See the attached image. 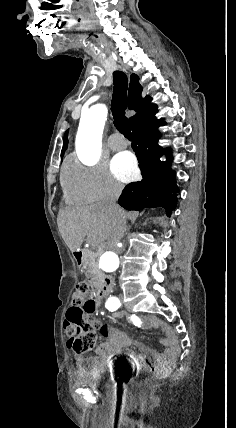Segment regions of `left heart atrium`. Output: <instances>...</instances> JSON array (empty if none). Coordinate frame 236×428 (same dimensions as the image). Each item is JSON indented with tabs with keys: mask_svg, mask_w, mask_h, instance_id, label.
Masks as SVG:
<instances>
[{
	"mask_svg": "<svg viewBox=\"0 0 236 428\" xmlns=\"http://www.w3.org/2000/svg\"><path fill=\"white\" fill-rule=\"evenodd\" d=\"M111 172L114 177L129 182L137 175V165L134 156L129 152H124L113 158L111 162Z\"/></svg>",
	"mask_w": 236,
	"mask_h": 428,
	"instance_id": "39dd6f15",
	"label": "left heart atrium"
}]
</instances>
